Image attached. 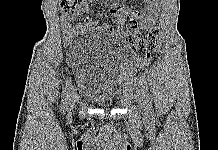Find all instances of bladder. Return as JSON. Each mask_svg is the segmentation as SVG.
<instances>
[{
    "label": "bladder",
    "mask_w": 218,
    "mask_h": 150,
    "mask_svg": "<svg viewBox=\"0 0 218 150\" xmlns=\"http://www.w3.org/2000/svg\"><path fill=\"white\" fill-rule=\"evenodd\" d=\"M77 54L79 63L75 72L80 94L98 105L119 102L134 78L120 67L117 42L106 33L93 32L82 38Z\"/></svg>",
    "instance_id": "31cf9c89"
}]
</instances>
